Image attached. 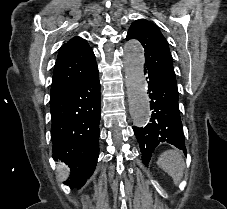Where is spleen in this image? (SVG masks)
<instances>
[{
    "instance_id": "spleen-1",
    "label": "spleen",
    "mask_w": 227,
    "mask_h": 209,
    "mask_svg": "<svg viewBox=\"0 0 227 209\" xmlns=\"http://www.w3.org/2000/svg\"><path fill=\"white\" fill-rule=\"evenodd\" d=\"M157 165L172 177L175 185L180 183L185 169V163L179 151H165L158 157Z\"/></svg>"
}]
</instances>
